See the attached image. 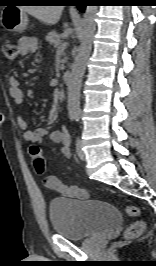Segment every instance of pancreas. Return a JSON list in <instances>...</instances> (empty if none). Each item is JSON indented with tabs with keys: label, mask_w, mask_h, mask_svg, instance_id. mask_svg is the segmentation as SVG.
Returning a JSON list of instances; mask_svg holds the SVG:
<instances>
[{
	"label": "pancreas",
	"mask_w": 156,
	"mask_h": 266,
	"mask_svg": "<svg viewBox=\"0 0 156 266\" xmlns=\"http://www.w3.org/2000/svg\"><path fill=\"white\" fill-rule=\"evenodd\" d=\"M46 41L49 42L51 45L57 47L60 44V35L57 34L55 31H51L46 36Z\"/></svg>",
	"instance_id": "obj_1"
}]
</instances>
